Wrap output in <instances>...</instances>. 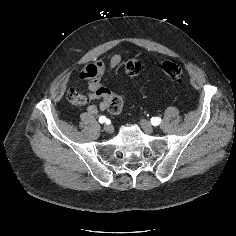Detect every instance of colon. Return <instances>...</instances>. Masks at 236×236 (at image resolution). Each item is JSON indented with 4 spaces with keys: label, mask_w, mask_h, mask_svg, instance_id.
<instances>
[{
    "label": "colon",
    "mask_w": 236,
    "mask_h": 236,
    "mask_svg": "<svg viewBox=\"0 0 236 236\" xmlns=\"http://www.w3.org/2000/svg\"><path fill=\"white\" fill-rule=\"evenodd\" d=\"M162 72L165 76L176 83L183 81V69L182 67L174 62L166 61L161 66ZM125 72L131 77L138 76L142 72V63L140 60L132 59L128 61L125 67ZM68 100L74 106H83L86 104V97L75 89H71L68 92ZM123 107V99L121 96L116 95L112 97L108 105L109 113L116 115L119 114Z\"/></svg>",
    "instance_id": "5ec220e1"
}]
</instances>
